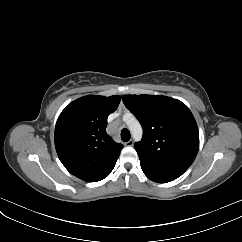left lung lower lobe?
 I'll list each match as a JSON object with an SVG mask.
<instances>
[{
  "label": "left lung lower lobe",
  "instance_id": "obj_1",
  "mask_svg": "<svg viewBox=\"0 0 242 242\" xmlns=\"http://www.w3.org/2000/svg\"><path fill=\"white\" fill-rule=\"evenodd\" d=\"M144 174L152 181L157 183H166L175 180L180 175L169 174V173H162L156 171H149L141 166Z\"/></svg>",
  "mask_w": 242,
  "mask_h": 242
}]
</instances>
